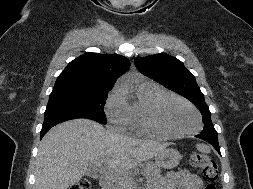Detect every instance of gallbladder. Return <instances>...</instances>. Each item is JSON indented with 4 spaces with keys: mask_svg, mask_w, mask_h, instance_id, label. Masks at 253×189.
<instances>
[{
    "mask_svg": "<svg viewBox=\"0 0 253 189\" xmlns=\"http://www.w3.org/2000/svg\"><path fill=\"white\" fill-rule=\"evenodd\" d=\"M85 175L93 177V178H97V171H94L92 169L88 170Z\"/></svg>",
    "mask_w": 253,
    "mask_h": 189,
    "instance_id": "gallbladder-1",
    "label": "gallbladder"
}]
</instances>
